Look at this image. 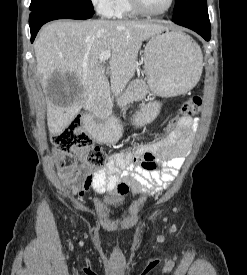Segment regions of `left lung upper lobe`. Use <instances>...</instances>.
<instances>
[{
  "label": "left lung upper lobe",
  "instance_id": "left-lung-upper-lobe-1",
  "mask_svg": "<svg viewBox=\"0 0 247 275\" xmlns=\"http://www.w3.org/2000/svg\"><path fill=\"white\" fill-rule=\"evenodd\" d=\"M208 16L206 0H175L172 20Z\"/></svg>",
  "mask_w": 247,
  "mask_h": 275
}]
</instances>
